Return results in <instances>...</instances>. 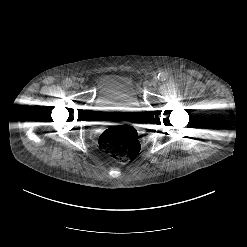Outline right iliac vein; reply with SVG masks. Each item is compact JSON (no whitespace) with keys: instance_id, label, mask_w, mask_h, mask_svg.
<instances>
[{"instance_id":"63e3f726","label":"right iliac vein","mask_w":247,"mask_h":247,"mask_svg":"<svg viewBox=\"0 0 247 247\" xmlns=\"http://www.w3.org/2000/svg\"><path fill=\"white\" fill-rule=\"evenodd\" d=\"M72 87L74 89H79L80 85H79V83L75 82V83H73Z\"/></svg>"}]
</instances>
